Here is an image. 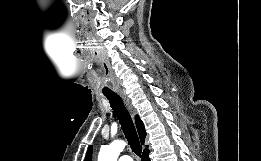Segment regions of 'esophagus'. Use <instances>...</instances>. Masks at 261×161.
Returning a JSON list of instances; mask_svg holds the SVG:
<instances>
[{"mask_svg":"<svg viewBox=\"0 0 261 161\" xmlns=\"http://www.w3.org/2000/svg\"><path fill=\"white\" fill-rule=\"evenodd\" d=\"M120 95H121L122 99L124 100L126 106L129 108V110L131 112H133V108H132V105H131L129 98L125 94H120Z\"/></svg>","mask_w":261,"mask_h":161,"instance_id":"1","label":"esophagus"}]
</instances>
